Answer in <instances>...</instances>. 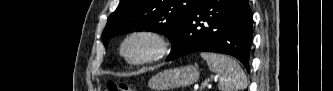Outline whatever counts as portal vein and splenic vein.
<instances>
[{"label": "portal vein and splenic vein", "instance_id": "1", "mask_svg": "<svg viewBox=\"0 0 333 91\" xmlns=\"http://www.w3.org/2000/svg\"><path fill=\"white\" fill-rule=\"evenodd\" d=\"M208 82H209V80L204 81L203 87L207 86ZM198 88H199L198 86H194V91H198Z\"/></svg>", "mask_w": 333, "mask_h": 91}]
</instances>
